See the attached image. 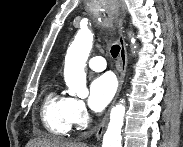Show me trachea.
Here are the masks:
<instances>
[{"label":"trachea","instance_id":"obj_1","mask_svg":"<svg viewBox=\"0 0 183 147\" xmlns=\"http://www.w3.org/2000/svg\"><path fill=\"white\" fill-rule=\"evenodd\" d=\"M120 52V46L119 45H113L111 47V55L113 58H116Z\"/></svg>","mask_w":183,"mask_h":147}]
</instances>
